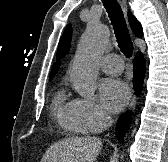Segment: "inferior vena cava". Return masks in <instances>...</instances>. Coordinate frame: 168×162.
I'll return each instance as SVG.
<instances>
[{
  "instance_id": "602c4592",
  "label": "inferior vena cava",
  "mask_w": 168,
  "mask_h": 162,
  "mask_svg": "<svg viewBox=\"0 0 168 162\" xmlns=\"http://www.w3.org/2000/svg\"><path fill=\"white\" fill-rule=\"evenodd\" d=\"M104 122H105V126H110L113 123V120L111 117L106 116Z\"/></svg>"
}]
</instances>
